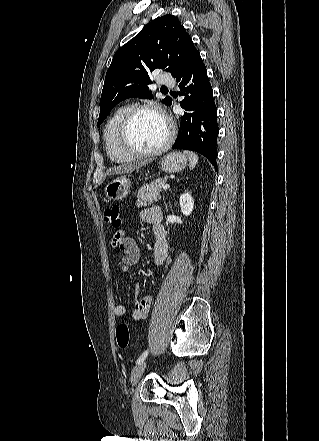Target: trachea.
<instances>
[{"label":"trachea","mask_w":319,"mask_h":441,"mask_svg":"<svg viewBox=\"0 0 319 441\" xmlns=\"http://www.w3.org/2000/svg\"><path fill=\"white\" fill-rule=\"evenodd\" d=\"M162 89H167L166 87H162Z\"/></svg>","instance_id":"1"}]
</instances>
